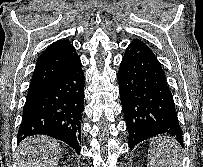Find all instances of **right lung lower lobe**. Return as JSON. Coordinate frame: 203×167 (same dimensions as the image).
<instances>
[{"mask_svg":"<svg viewBox=\"0 0 203 167\" xmlns=\"http://www.w3.org/2000/svg\"><path fill=\"white\" fill-rule=\"evenodd\" d=\"M80 58L44 86L28 90L18 143L43 134L70 145L77 153L81 144L84 109V73Z\"/></svg>","mask_w":203,"mask_h":167,"instance_id":"98d812e1","label":"right lung lower lobe"}]
</instances>
